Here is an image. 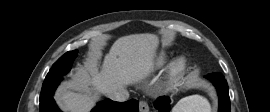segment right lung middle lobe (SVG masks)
<instances>
[{
  "label": "right lung middle lobe",
  "mask_w": 270,
  "mask_h": 112,
  "mask_svg": "<svg viewBox=\"0 0 270 112\" xmlns=\"http://www.w3.org/2000/svg\"><path fill=\"white\" fill-rule=\"evenodd\" d=\"M77 56V50L69 51L60 57L52 66L44 82L49 84L59 83L62 76L65 75L71 68L72 62Z\"/></svg>",
  "instance_id": "1"
}]
</instances>
